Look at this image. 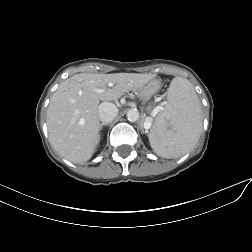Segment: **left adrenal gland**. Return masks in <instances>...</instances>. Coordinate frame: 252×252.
<instances>
[{
    "instance_id": "1",
    "label": "left adrenal gland",
    "mask_w": 252,
    "mask_h": 252,
    "mask_svg": "<svg viewBox=\"0 0 252 252\" xmlns=\"http://www.w3.org/2000/svg\"><path fill=\"white\" fill-rule=\"evenodd\" d=\"M142 132H143V133H146V134L148 133V131H147V130H145V131H144V129H143V128H142Z\"/></svg>"
}]
</instances>
